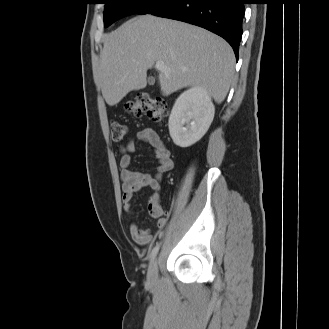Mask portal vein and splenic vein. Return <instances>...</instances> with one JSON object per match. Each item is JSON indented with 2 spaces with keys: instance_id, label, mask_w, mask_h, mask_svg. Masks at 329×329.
Returning a JSON list of instances; mask_svg holds the SVG:
<instances>
[{
  "instance_id": "obj_1",
  "label": "portal vein and splenic vein",
  "mask_w": 329,
  "mask_h": 329,
  "mask_svg": "<svg viewBox=\"0 0 329 329\" xmlns=\"http://www.w3.org/2000/svg\"><path fill=\"white\" fill-rule=\"evenodd\" d=\"M155 68L159 71L169 72L170 69L164 64L163 61H157L155 64Z\"/></svg>"
}]
</instances>
